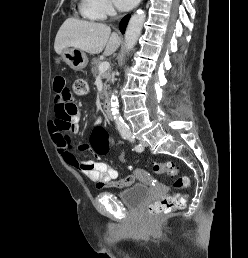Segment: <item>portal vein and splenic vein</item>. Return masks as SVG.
Wrapping results in <instances>:
<instances>
[{
  "mask_svg": "<svg viewBox=\"0 0 248 258\" xmlns=\"http://www.w3.org/2000/svg\"><path fill=\"white\" fill-rule=\"evenodd\" d=\"M109 67H110L109 62H108V61H104V62H102V63L99 65V71H100V72H105V71H107V70L109 69Z\"/></svg>",
  "mask_w": 248,
  "mask_h": 258,
  "instance_id": "obj_1",
  "label": "portal vein and splenic vein"
}]
</instances>
